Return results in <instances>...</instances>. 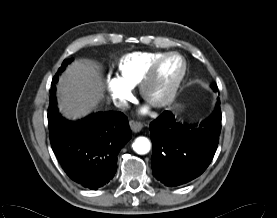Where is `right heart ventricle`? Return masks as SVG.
<instances>
[{
	"instance_id": "right-heart-ventricle-1",
	"label": "right heart ventricle",
	"mask_w": 277,
	"mask_h": 218,
	"mask_svg": "<svg viewBox=\"0 0 277 218\" xmlns=\"http://www.w3.org/2000/svg\"><path fill=\"white\" fill-rule=\"evenodd\" d=\"M163 52H133L125 55L119 63L120 78L129 87L140 85L152 62Z\"/></svg>"
}]
</instances>
